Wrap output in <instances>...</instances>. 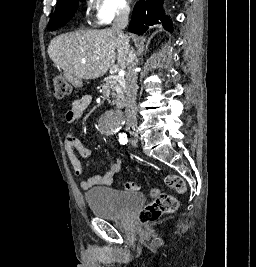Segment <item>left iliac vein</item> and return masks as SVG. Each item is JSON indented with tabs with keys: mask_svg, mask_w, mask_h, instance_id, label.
<instances>
[{
	"mask_svg": "<svg viewBox=\"0 0 256 267\" xmlns=\"http://www.w3.org/2000/svg\"><path fill=\"white\" fill-rule=\"evenodd\" d=\"M131 144L133 146H137V139H135V138L131 139Z\"/></svg>",
	"mask_w": 256,
	"mask_h": 267,
	"instance_id": "4c4485c4",
	"label": "left iliac vein"
}]
</instances>
